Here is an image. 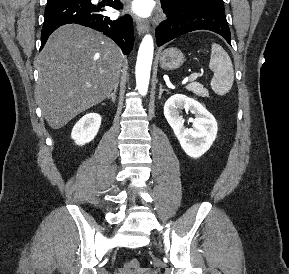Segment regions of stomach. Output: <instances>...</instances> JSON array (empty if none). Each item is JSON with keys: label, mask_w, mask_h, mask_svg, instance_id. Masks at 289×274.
Wrapping results in <instances>:
<instances>
[{"label": "stomach", "mask_w": 289, "mask_h": 274, "mask_svg": "<svg viewBox=\"0 0 289 274\" xmlns=\"http://www.w3.org/2000/svg\"><path fill=\"white\" fill-rule=\"evenodd\" d=\"M184 54L177 48H167L160 55V66L162 69L174 70L184 63Z\"/></svg>", "instance_id": "obj_1"}]
</instances>
